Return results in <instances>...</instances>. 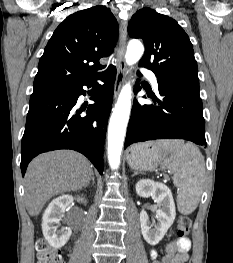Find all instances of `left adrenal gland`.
I'll return each mask as SVG.
<instances>
[{"label":"left adrenal gland","mask_w":233,"mask_h":263,"mask_svg":"<svg viewBox=\"0 0 233 263\" xmlns=\"http://www.w3.org/2000/svg\"><path fill=\"white\" fill-rule=\"evenodd\" d=\"M138 174H140L139 172H137V171H134V173H133V175L132 176H136V175H138Z\"/></svg>","instance_id":"1"}]
</instances>
